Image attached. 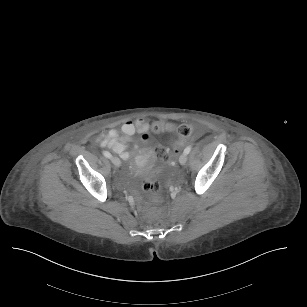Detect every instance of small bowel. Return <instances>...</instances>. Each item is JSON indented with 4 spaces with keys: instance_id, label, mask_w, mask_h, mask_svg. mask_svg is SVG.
Masks as SVG:
<instances>
[{
    "instance_id": "c3829d8e",
    "label": "small bowel",
    "mask_w": 307,
    "mask_h": 307,
    "mask_svg": "<svg viewBox=\"0 0 307 307\" xmlns=\"http://www.w3.org/2000/svg\"><path fill=\"white\" fill-rule=\"evenodd\" d=\"M149 129L150 125L145 119L128 120L122 124L120 130L110 129L106 134L100 135L98 140L101 146L109 147L122 159L127 160L131 157L127 148L132 136L138 132L147 139Z\"/></svg>"
}]
</instances>
